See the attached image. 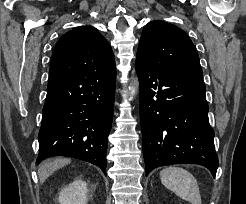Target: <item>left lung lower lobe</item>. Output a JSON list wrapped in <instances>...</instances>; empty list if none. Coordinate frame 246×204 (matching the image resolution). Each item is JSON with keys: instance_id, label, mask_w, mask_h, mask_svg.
<instances>
[{"instance_id": "obj_1", "label": "left lung lower lobe", "mask_w": 246, "mask_h": 204, "mask_svg": "<svg viewBox=\"0 0 246 204\" xmlns=\"http://www.w3.org/2000/svg\"><path fill=\"white\" fill-rule=\"evenodd\" d=\"M146 176L172 164H200L215 177L218 156L203 79L135 62Z\"/></svg>"}]
</instances>
